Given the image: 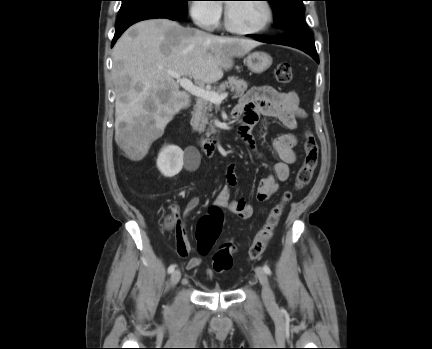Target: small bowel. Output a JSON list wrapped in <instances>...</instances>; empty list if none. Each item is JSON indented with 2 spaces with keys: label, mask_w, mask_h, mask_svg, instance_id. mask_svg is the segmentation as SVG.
<instances>
[{
  "label": "small bowel",
  "mask_w": 432,
  "mask_h": 349,
  "mask_svg": "<svg viewBox=\"0 0 432 349\" xmlns=\"http://www.w3.org/2000/svg\"><path fill=\"white\" fill-rule=\"evenodd\" d=\"M236 117H241L238 128V137L244 145L254 154L258 160H263V155L256 149L255 140L251 130L261 116L278 120L285 128L295 130L298 121L306 118V112L300 107L299 98L294 91L281 92L271 86H260L249 89L239 100L234 109ZM298 144L297 137L292 133L281 134L273 141V150L278 158L270 164L271 173L262 178L256 190V199L260 202L267 201L277 190L278 183L288 179L289 166L297 161L295 148ZM200 159L194 152H187L185 156V169L194 171L198 168ZM238 182L235 166L229 164L225 170V185L219 191L215 206L225 209L242 220L249 219L254 212L253 207L244 198L231 200V191ZM199 197L193 196L186 204L185 212L190 213L199 205ZM177 219V250L182 257L189 255L191 246L180 221V211L173 209ZM201 263L199 256L191 257L186 265L188 270L197 268ZM208 278H212L211 270L206 272Z\"/></svg>",
  "instance_id": "c3829d8e"
}]
</instances>
